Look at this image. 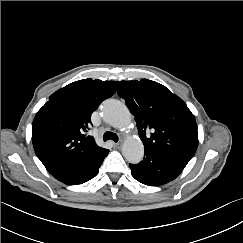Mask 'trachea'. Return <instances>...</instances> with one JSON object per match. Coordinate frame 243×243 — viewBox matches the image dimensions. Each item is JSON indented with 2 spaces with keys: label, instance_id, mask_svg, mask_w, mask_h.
I'll use <instances>...</instances> for the list:
<instances>
[{
  "label": "trachea",
  "instance_id": "obj_1",
  "mask_svg": "<svg viewBox=\"0 0 243 243\" xmlns=\"http://www.w3.org/2000/svg\"><path fill=\"white\" fill-rule=\"evenodd\" d=\"M103 140L104 141L113 140L114 142H118L119 139H118L117 134L110 132V131H107L103 135Z\"/></svg>",
  "mask_w": 243,
  "mask_h": 243
}]
</instances>
